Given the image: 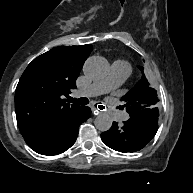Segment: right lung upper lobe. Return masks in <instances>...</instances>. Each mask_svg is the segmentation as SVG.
<instances>
[{"instance_id":"obj_1","label":"right lung upper lobe","mask_w":193,"mask_h":193,"mask_svg":"<svg viewBox=\"0 0 193 193\" xmlns=\"http://www.w3.org/2000/svg\"><path fill=\"white\" fill-rule=\"evenodd\" d=\"M92 45L60 46L35 58L21 76L15 92L18 127L27 144L58 136L83 107L65 99Z\"/></svg>"}]
</instances>
